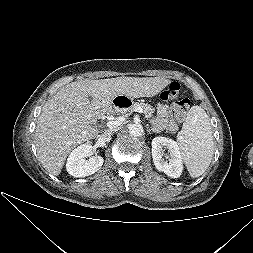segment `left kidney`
I'll return each instance as SVG.
<instances>
[{
	"label": "left kidney",
	"instance_id": "left-kidney-1",
	"mask_svg": "<svg viewBox=\"0 0 253 253\" xmlns=\"http://www.w3.org/2000/svg\"><path fill=\"white\" fill-rule=\"evenodd\" d=\"M163 148H167L170 153L168 161L163 158ZM152 158L156 169L166 175L178 178L182 174V153L174 140L162 136L155 137L152 140Z\"/></svg>",
	"mask_w": 253,
	"mask_h": 253
}]
</instances>
